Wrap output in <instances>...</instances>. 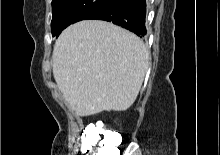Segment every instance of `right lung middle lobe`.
Wrapping results in <instances>:
<instances>
[{"label":"right lung middle lobe","mask_w":220,"mask_h":155,"mask_svg":"<svg viewBox=\"0 0 220 155\" xmlns=\"http://www.w3.org/2000/svg\"><path fill=\"white\" fill-rule=\"evenodd\" d=\"M119 0H53L52 36L58 37L67 26L87 19L90 15L105 9Z\"/></svg>","instance_id":"dd1d6c3e"}]
</instances>
